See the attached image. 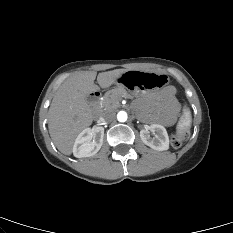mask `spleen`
<instances>
[{"instance_id": "spleen-1", "label": "spleen", "mask_w": 233, "mask_h": 233, "mask_svg": "<svg viewBox=\"0 0 233 233\" xmlns=\"http://www.w3.org/2000/svg\"><path fill=\"white\" fill-rule=\"evenodd\" d=\"M191 125V114L190 111L187 108H184L183 110V116L180 118L178 129L180 130V133H184V130L189 128Z\"/></svg>"}]
</instances>
